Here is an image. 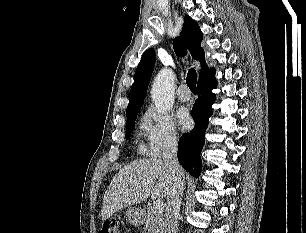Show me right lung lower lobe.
<instances>
[{
	"label": "right lung lower lobe",
	"mask_w": 306,
	"mask_h": 233,
	"mask_svg": "<svg viewBox=\"0 0 306 233\" xmlns=\"http://www.w3.org/2000/svg\"><path fill=\"white\" fill-rule=\"evenodd\" d=\"M197 86L198 99L191 111L195 127L190 133L181 136L178 154L180 164L195 177H198L201 172L200 153L204 145V134L208 126V119L212 114L211 105L215 102V95L211 92L217 86L214 70L199 78Z\"/></svg>",
	"instance_id": "obj_1"
}]
</instances>
